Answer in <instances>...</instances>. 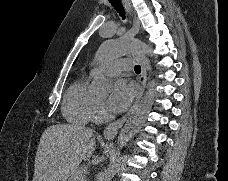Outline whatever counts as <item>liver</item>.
<instances>
[{
    "label": "liver",
    "mask_w": 228,
    "mask_h": 181,
    "mask_svg": "<svg viewBox=\"0 0 228 181\" xmlns=\"http://www.w3.org/2000/svg\"><path fill=\"white\" fill-rule=\"evenodd\" d=\"M93 129L77 125H52L41 135L33 181H67L82 161L95 151Z\"/></svg>",
    "instance_id": "1"
}]
</instances>
